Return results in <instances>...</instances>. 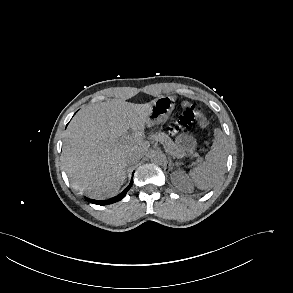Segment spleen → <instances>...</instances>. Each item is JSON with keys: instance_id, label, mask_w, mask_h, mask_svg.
I'll return each mask as SVG.
<instances>
[{"instance_id": "spleen-1", "label": "spleen", "mask_w": 293, "mask_h": 293, "mask_svg": "<svg viewBox=\"0 0 293 293\" xmlns=\"http://www.w3.org/2000/svg\"><path fill=\"white\" fill-rule=\"evenodd\" d=\"M214 136V142L205 156L204 163L189 172L190 180L199 189L211 188L226 166V139L219 128L214 130Z\"/></svg>"}]
</instances>
